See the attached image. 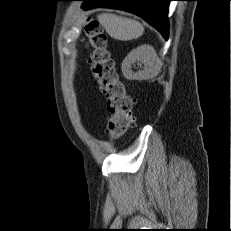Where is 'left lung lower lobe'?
Wrapping results in <instances>:
<instances>
[{"label": "left lung lower lobe", "mask_w": 231, "mask_h": 231, "mask_svg": "<svg viewBox=\"0 0 231 231\" xmlns=\"http://www.w3.org/2000/svg\"><path fill=\"white\" fill-rule=\"evenodd\" d=\"M84 1L82 8L106 7L134 13L168 38V5L173 0H77Z\"/></svg>", "instance_id": "obj_1"}]
</instances>
